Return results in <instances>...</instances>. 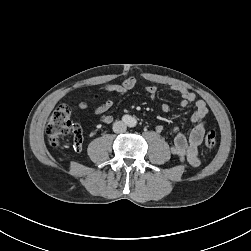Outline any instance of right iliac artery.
<instances>
[{"label":"right iliac artery","mask_w":251,"mask_h":251,"mask_svg":"<svg viewBox=\"0 0 251 251\" xmlns=\"http://www.w3.org/2000/svg\"><path fill=\"white\" fill-rule=\"evenodd\" d=\"M124 123H129L130 122V117L128 115L123 116L122 118Z\"/></svg>","instance_id":"obj_1"}]
</instances>
